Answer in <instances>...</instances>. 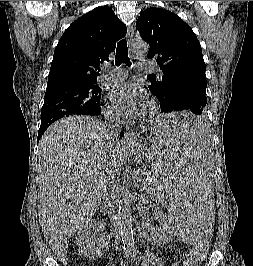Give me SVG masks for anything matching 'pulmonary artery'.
<instances>
[{
    "label": "pulmonary artery",
    "mask_w": 253,
    "mask_h": 266,
    "mask_svg": "<svg viewBox=\"0 0 253 266\" xmlns=\"http://www.w3.org/2000/svg\"><path fill=\"white\" fill-rule=\"evenodd\" d=\"M139 69L150 71V72H157L158 76L160 77L162 75L161 71L155 67H153L149 62L147 61H139L137 63ZM104 71L106 73V79L110 81H120L125 79L128 76V71L121 67H110L106 66L104 68Z\"/></svg>",
    "instance_id": "e3ab8cb5"
}]
</instances>
